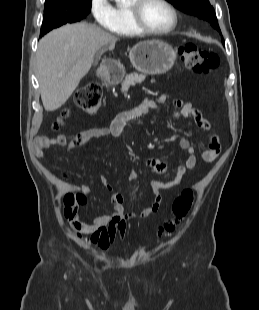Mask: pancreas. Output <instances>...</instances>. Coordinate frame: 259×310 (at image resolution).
Wrapping results in <instances>:
<instances>
[{"mask_svg":"<svg viewBox=\"0 0 259 310\" xmlns=\"http://www.w3.org/2000/svg\"><path fill=\"white\" fill-rule=\"evenodd\" d=\"M144 79H145V76L142 74L139 75L137 73H133V74L127 75L125 79L122 81L121 91L123 93L127 92L131 86H134L137 83H141L142 81H144Z\"/></svg>","mask_w":259,"mask_h":310,"instance_id":"pancreas-1","label":"pancreas"}]
</instances>
